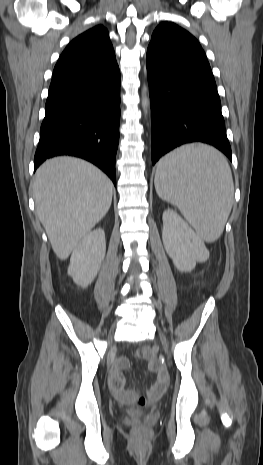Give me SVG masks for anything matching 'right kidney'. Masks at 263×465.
I'll return each instance as SVG.
<instances>
[{
  "instance_id": "obj_1",
  "label": "right kidney",
  "mask_w": 263,
  "mask_h": 465,
  "mask_svg": "<svg viewBox=\"0 0 263 465\" xmlns=\"http://www.w3.org/2000/svg\"><path fill=\"white\" fill-rule=\"evenodd\" d=\"M106 252L105 232L98 228L85 235L70 258L68 274L86 288L96 278Z\"/></svg>"
}]
</instances>
